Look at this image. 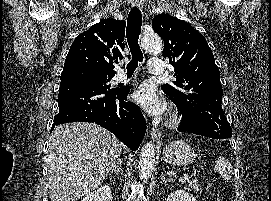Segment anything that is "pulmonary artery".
I'll use <instances>...</instances> for the list:
<instances>
[{"label": "pulmonary artery", "mask_w": 271, "mask_h": 201, "mask_svg": "<svg viewBox=\"0 0 271 201\" xmlns=\"http://www.w3.org/2000/svg\"><path fill=\"white\" fill-rule=\"evenodd\" d=\"M148 69L151 74L162 75L164 74L165 63L161 58L152 57L148 64ZM126 76L122 71H119L115 77V82L125 81Z\"/></svg>", "instance_id": "pulmonary-artery-1"}]
</instances>
